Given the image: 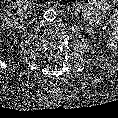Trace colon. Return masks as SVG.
<instances>
[{
	"label": "colon",
	"instance_id": "colon-1",
	"mask_svg": "<svg viewBox=\"0 0 118 118\" xmlns=\"http://www.w3.org/2000/svg\"><path fill=\"white\" fill-rule=\"evenodd\" d=\"M27 11V5L23 0H11L4 12L3 24L13 26L19 22Z\"/></svg>",
	"mask_w": 118,
	"mask_h": 118
}]
</instances>
